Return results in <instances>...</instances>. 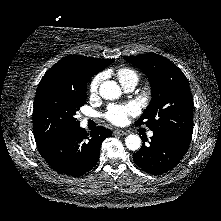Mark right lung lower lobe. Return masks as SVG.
<instances>
[{"mask_svg":"<svg viewBox=\"0 0 221 221\" xmlns=\"http://www.w3.org/2000/svg\"><path fill=\"white\" fill-rule=\"evenodd\" d=\"M111 135L112 131L102 126L87 133L78 125L37 147L49 166L57 172L82 176L97 164L101 143Z\"/></svg>","mask_w":221,"mask_h":221,"instance_id":"obj_1","label":"right lung lower lobe"}]
</instances>
